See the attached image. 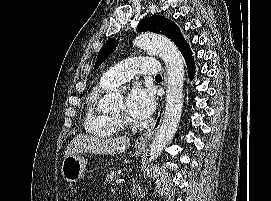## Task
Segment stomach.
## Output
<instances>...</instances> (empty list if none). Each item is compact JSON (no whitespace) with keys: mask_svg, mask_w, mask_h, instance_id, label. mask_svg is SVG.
<instances>
[{"mask_svg":"<svg viewBox=\"0 0 271 201\" xmlns=\"http://www.w3.org/2000/svg\"><path fill=\"white\" fill-rule=\"evenodd\" d=\"M135 149L137 152H142L145 146L136 145ZM86 167L87 160L79 154H73L64 158L61 173L67 182H78L85 176Z\"/></svg>","mask_w":271,"mask_h":201,"instance_id":"1","label":"stomach"}]
</instances>
